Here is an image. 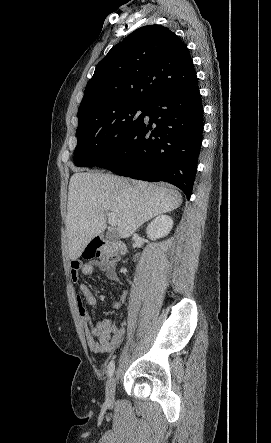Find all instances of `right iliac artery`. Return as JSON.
<instances>
[{
    "instance_id": "obj_1",
    "label": "right iliac artery",
    "mask_w": 271,
    "mask_h": 443,
    "mask_svg": "<svg viewBox=\"0 0 271 443\" xmlns=\"http://www.w3.org/2000/svg\"><path fill=\"white\" fill-rule=\"evenodd\" d=\"M115 370V362L112 360L108 365V376L111 377Z\"/></svg>"
}]
</instances>
